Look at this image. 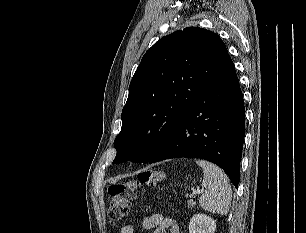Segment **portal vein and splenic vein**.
<instances>
[{"label": "portal vein and splenic vein", "mask_w": 306, "mask_h": 233, "mask_svg": "<svg viewBox=\"0 0 306 233\" xmlns=\"http://www.w3.org/2000/svg\"><path fill=\"white\" fill-rule=\"evenodd\" d=\"M203 192H204L203 190H193L191 196L193 197V196H195L197 194H201Z\"/></svg>", "instance_id": "18ae733b"}]
</instances>
